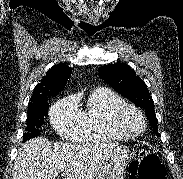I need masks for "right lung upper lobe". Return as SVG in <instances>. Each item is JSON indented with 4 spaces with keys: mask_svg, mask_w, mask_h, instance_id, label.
Masks as SVG:
<instances>
[{
    "mask_svg": "<svg viewBox=\"0 0 183 179\" xmlns=\"http://www.w3.org/2000/svg\"><path fill=\"white\" fill-rule=\"evenodd\" d=\"M72 70L65 64H57L47 72L41 82L36 85L31 97V103L28 106L41 104L50 97L56 96L61 92Z\"/></svg>",
    "mask_w": 183,
    "mask_h": 179,
    "instance_id": "cb5924a9",
    "label": "right lung upper lobe"
}]
</instances>
